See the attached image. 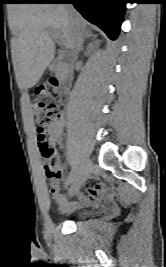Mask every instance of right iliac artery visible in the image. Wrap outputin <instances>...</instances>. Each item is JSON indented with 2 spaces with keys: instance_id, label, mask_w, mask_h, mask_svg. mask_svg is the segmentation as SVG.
I'll return each mask as SVG.
<instances>
[{
  "instance_id": "right-iliac-artery-1",
  "label": "right iliac artery",
  "mask_w": 166,
  "mask_h": 267,
  "mask_svg": "<svg viewBox=\"0 0 166 267\" xmlns=\"http://www.w3.org/2000/svg\"><path fill=\"white\" fill-rule=\"evenodd\" d=\"M77 174H78V167L74 166L70 175L67 178L66 186L70 185L75 180Z\"/></svg>"
}]
</instances>
